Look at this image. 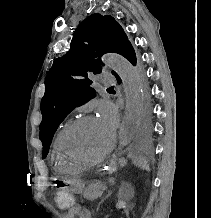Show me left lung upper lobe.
<instances>
[{
  "label": "left lung upper lobe",
  "instance_id": "1",
  "mask_svg": "<svg viewBox=\"0 0 211 218\" xmlns=\"http://www.w3.org/2000/svg\"><path fill=\"white\" fill-rule=\"evenodd\" d=\"M117 53L136 65L135 51L121 25L110 15L88 16L74 32L70 50L54 60L45 79V95L41 101L43 115L39 138L43 144V158L47 156L53 135L59 124L77 106L96 96L91 87L93 74L104 69L100 60L105 53ZM118 82L121 79L112 71ZM109 93H112L107 89ZM150 106L143 107L147 118Z\"/></svg>",
  "mask_w": 211,
  "mask_h": 218
}]
</instances>
